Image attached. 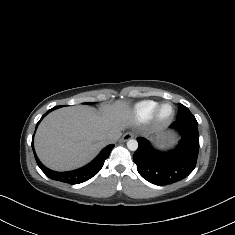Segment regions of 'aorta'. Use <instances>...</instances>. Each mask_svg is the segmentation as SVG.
Instances as JSON below:
<instances>
[{
	"label": "aorta",
	"mask_w": 235,
	"mask_h": 235,
	"mask_svg": "<svg viewBox=\"0 0 235 235\" xmlns=\"http://www.w3.org/2000/svg\"><path fill=\"white\" fill-rule=\"evenodd\" d=\"M127 148L131 151H135L138 148V142L135 139H130L127 141Z\"/></svg>",
	"instance_id": "1"
}]
</instances>
